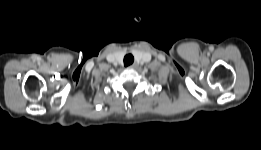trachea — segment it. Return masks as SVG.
<instances>
[{"label":"trachea","mask_w":261,"mask_h":150,"mask_svg":"<svg viewBox=\"0 0 261 150\" xmlns=\"http://www.w3.org/2000/svg\"><path fill=\"white\" fill-rule=\"evenodd\" d=\"M133 62H134V57H133L132 54H127V55L124 57V65H125V66L131 65Z\"/></svg>","instance_id":"trachea-1"}]
</instances>
